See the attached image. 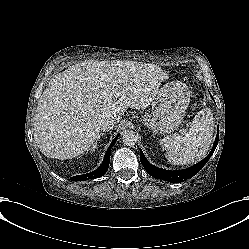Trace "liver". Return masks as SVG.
Returning a JSON list of instances; mask_svg holds the SVG:
<instances>
[{"instance_id":"1","label":"liver","mask_w":249,"mask_h":249,"mask_svg":"<svg viewBox=\"0 0 249 249\" xmlns=\"http://www.w3.org/2000/svg\"><path fill=\"white\" fill-rule=\"evenodd\" d=\"M162 74L154 66L91 61L58 74L38 102L34 138L46 156L77 157L98 142L101 123L119 122L128 107L145 109L158 94Z\"/></svg>"}]
</instances>
